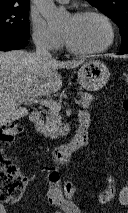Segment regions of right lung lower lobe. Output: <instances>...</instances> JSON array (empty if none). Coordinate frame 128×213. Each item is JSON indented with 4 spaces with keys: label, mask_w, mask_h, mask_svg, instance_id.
Masks as SVG:
<instances>
[{
    "label": "right lung lower lobe",
    "mask_w": 128,
    "mask_h": 213,
    "mask_svg": "<svg viewBox=\"0 0 128 213\" xmlns=\"http://www.w3.org/2000/svg\"><path fill=\"white\" fill-rule=\"evenodd\" d=\"M28 44V40L19 38H0V51L22 49Z\"/></svg>",
    "instance_id": "98d812e1"
}]
</instances>
